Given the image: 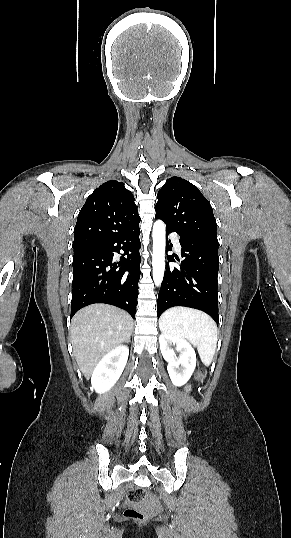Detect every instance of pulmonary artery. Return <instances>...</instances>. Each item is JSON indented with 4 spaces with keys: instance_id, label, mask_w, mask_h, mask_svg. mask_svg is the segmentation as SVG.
I'll return each mask as SVG.
<instances>
[{
    "instance_id": "pulmonary-artery-1",
    "label": "pulmonary artery",
    "mask_w": 291,
    "mask_h": 538,
    "mask_svg": "<svg viewBox=\"0 0 291 538\" xmlns=\"http://www.w3.org/2000/svg\"><path fill=\"white\" fill-rule=\"evenodd\" d=\"M171 239H172V242L174 244V247L176 248V250L179 251L181 249V245H180V242H179V236L176 233H172L171 234Z\"/></svg>"
}]
</instances>
